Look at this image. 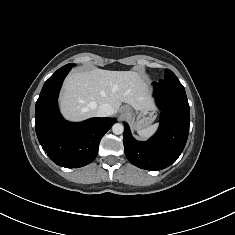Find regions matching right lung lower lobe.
Instances as JSON below:
<instances>
[{"mask_svg": "<svg viewBox=\"0 0 235 235\" xmlns=\"http://www.w3.org/2000/svg\"><path fill=\"white\" fill-rule=\"evenodd\" d=\"M71 67L57 70L44 84L36 102L35 129L49 158L57 165L77 168L91 163L101 138L116 122L114 118H91L80 123L65 121L57 98Z\"/></svg>", "mask_w": 235, "mask_h": 235, "instance_id": "1", "label": "right lung lower lobe"}]
</instances>
